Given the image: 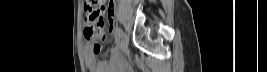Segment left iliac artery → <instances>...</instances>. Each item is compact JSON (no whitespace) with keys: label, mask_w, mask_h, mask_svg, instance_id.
Instances as JSON below:
<instances>
[{"label":"left iliac artery","mask_w":267,"mask_h":72,"mask_svg":"<svg viewBox=\"0 0 267 72\" xmlns=\"http://www.w3.org/2000/svg\"><path fill=\"white\" fill-rule=\"evenodd\" d=\"M115 35L120 40L121 35H122V30L119 27H116V29H115Z\"/></svg>","instance_id":"left-iliac-artery-1"}]
</instances>
